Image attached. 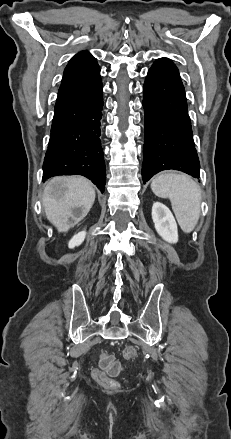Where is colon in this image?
I'll use <instances>...</instances> for the list:
<instances>
[{"instance_id": "colon-1", "label": "colon", "mask_w": 231, "mask_h": 439, "mask_svg": "<svg viewBox=\"0 0 231 439\" xmlns=\"http://www.w3.org/2000/svg\"><path fill=\"white\" fill-rule=\"evenodd\" d=\"M136 350L134 347L128 346L122 349V357L125 360H131L135 357ZM119 364L114 358L108 354H103L99 361V368L92 372L93 378L102 385L114 386L113 377L119 373Z\"/></svg>"}]
</instances>
